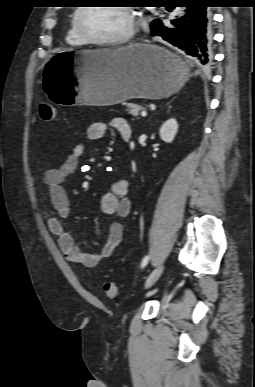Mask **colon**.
Returning a JSON list of instances; mask_svg holds the SVG:
<instances>
[{"label":"colon","mask_w":255,"mask_h":387,"mask_svg":"<svg viewBox=\"0 0 255 387\" xmlns=\"http://www.w3.org/2000/svg\"><path fill=\"white\" fill-rule=\"evenodd\" d=\"M39 116L42 120H53L55 118V108L50 105L43 103L39 107ZM103 293L109 297L113 298L117 295L118 289L113 281H106L103 284Z\"/></svg>","instance_id":"1"}]
</instances>
